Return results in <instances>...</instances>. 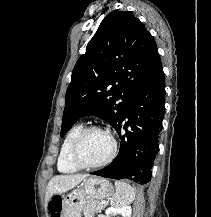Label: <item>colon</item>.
<instances>
[{"label":"colon","mask_w":211,"mask_h":217,"mask_svg":"<svg viewBox=\"0 0 211 217\" xmlns=\"http://www.w3.org/2000/svg\"><path fill=\"white\" fill-rule=\"evenodd\" d=\"M51 217H60V202L54 199L50 204Z\"/></svg>","instance_id":"colon-1"}]
</instances>
